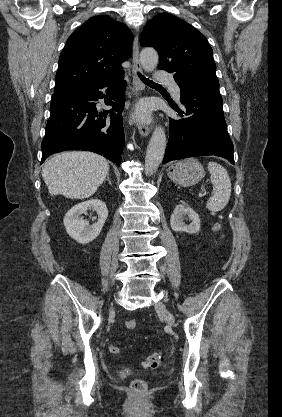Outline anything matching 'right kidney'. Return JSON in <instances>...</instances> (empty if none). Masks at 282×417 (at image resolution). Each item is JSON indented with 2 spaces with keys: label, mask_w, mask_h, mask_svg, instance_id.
Listing matches in <instances>:
<instances>
[{
  "label": "right kidney",
  "mask_w": 282,
  "mask_h": 417,
  "mask_svg": "<svg viewBox=\"0 0 282 417\" xmlns=\"http://www.w3.org/2000/svg\"><path fill=\"white\" fill-rule=\"evenodd\" d=\"M85 211H96L98 215L97 223L89 225V221L81 219L80 215L85 213ZM107 217L108 209L105 202L99 200V198H91V200H84V202L74 204L72 209L66 213L63 223L68 235L74 241L86 245V243H91L100 235Z\"/></svg>",
  "instance_id": "right-kidney-1"
}]
</instances>
